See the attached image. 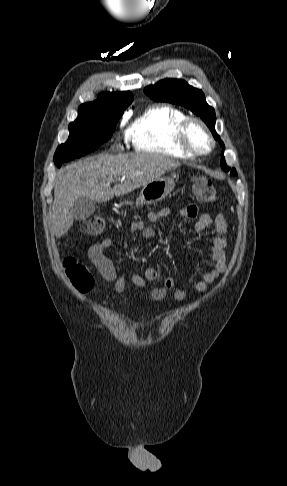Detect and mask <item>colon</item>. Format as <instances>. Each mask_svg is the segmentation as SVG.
<instances>
[{"label": "colon", "mask_w": 287, "mask_h": 486, "mask_svg": "<svg viewBox=\"0 0 287 486\" xmlns=\"http://www.w3.org/2000/svg\"><path fill=\"white\" fill-rule=\"evenodd\" d=\"M192 190L197 199L206 204L217 201V191L212 181L205 176H196L192 179ZM105 220L99 215H94L82 223L81 231L90 236H96L103 232ZM66 273L73 286L81 292H88L94 285V277L87 264L75 257H67L64 261Z\"/></svg>", "instance_id": "colon-1"}]
</instances>
